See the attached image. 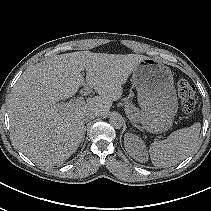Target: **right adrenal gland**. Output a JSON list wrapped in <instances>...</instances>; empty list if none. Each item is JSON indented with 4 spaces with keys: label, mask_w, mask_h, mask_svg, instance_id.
<instances>
[{
    "label": "right adrenal gland",
    "mask_w": 211,
    "mask_h": 211,
    "mask_svg": "<svg viewBox=\"0 0 211 211\" xmlns=\"http://www.w3.org/2000/svg\"><path fill=\"white\" fill-rule=\"evenodd\" d=\"M85 130H86V128H84V135H85Z\"/></svg>",
    "instance_id": "2a0ac1e0"
}]
</instances>
